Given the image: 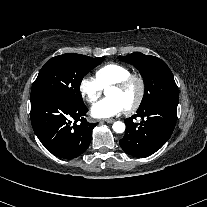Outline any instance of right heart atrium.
<instances>
[{
	"label": "right heart atrium",
	"mask_w": 207,
	"mask_h": 207,
	"mask_svg": "<svg viewBox=\"0 0 207 207\" xmlns=\"http://www.w3.org/2000/svg\"><path fill=\"white\" fill-rule=\"evenodd\" d=\"M79 91L84 100L89 103H93L102 94V87L95 78L88 76L81 80Z\"/></svg>",
	"instance_id": "right-heart-atrium-1"
}]
</instances>
